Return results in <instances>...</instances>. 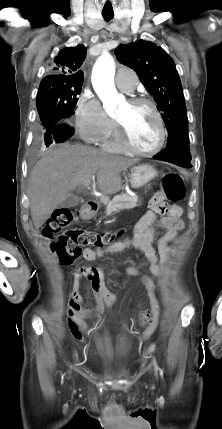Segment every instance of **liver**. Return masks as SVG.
<instances>
[{
    "label": "liver",
    "mask_w": 222,
    "mask_h": 429,
    "mask_svg": "<svg viewBox=\"0 0 222 429\" xmlns=\"http://www.w3.org/2000/svg\"><path fill=\"white\" fill-rule=\"evenodd\" d=\"M136 160L111 156L82 145L62 144L46 150L32 169L28 196L39 229L68 193L96 175L97 186L113 194L121 189L120 174Z\"/></svg>",
    "instance_id": "liver-1"
}]
</instances>
